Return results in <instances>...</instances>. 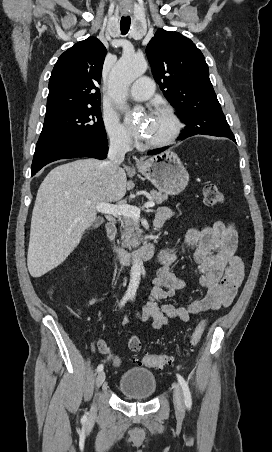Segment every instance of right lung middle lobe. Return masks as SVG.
<instances>
[{
  "label": "right lung middle lobe",
  "instance_id": "right-lung-middle-lobe-1",
  "mask_svg": "<svg viewBox=\"0 0 272 452\" xmlns=\"http://www.w3.org/2000/svg\"><path fill=\"white\" fill-rule=\"evenodd\" d=\"M106 137L99 104L46 114L38 142L66 139L99 141Z\"/></svg>",
  "mask_w": 272,
  "mask_h": 452
}]
</instances>
